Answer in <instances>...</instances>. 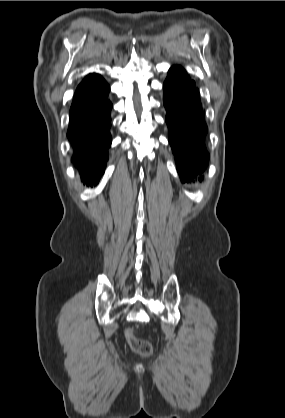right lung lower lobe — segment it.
Listing matches in <instances>:
<instances>
[{
    "label": "right lung lower lobe",
    "instance_id": "98d812e1",
    "mask_svg": "<svg viewBox=\"0 0 285 418\" xmlns=\"http://www.w3.org/2000/svg\"><path fill=\"white\" fill-rule=\"evenodd\" d=\"M109 85L99 74H89L78 85L69 112L67 137L73 148L72 162L83 183L98 184L111 146L112 103Z\"/></svg>",
    "mask_w": 285,
    "mask_h": 418
}]
</instances>
